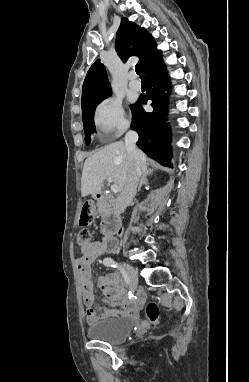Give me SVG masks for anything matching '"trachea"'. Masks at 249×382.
<instances>
[{
  "instance_id": "1",
  "label": "trachea",
  "mask_w": 249,
  "mask_h": 382,
  "mask_svg": "<svg viewBox=\"0 0 249 382\" xmlns=\"http://www.w3.org/2000/svg\"><path fill=\"white\" fill-rule=\"evenodd\" d=\"M135 71H136L137 75L140 76V78H145V75H144V73L141 71V69H140V67H139L138 64L135 66Z\"/></svg>"
}]
</instances>
